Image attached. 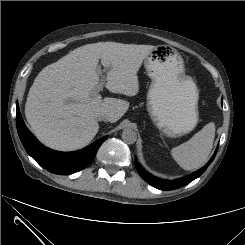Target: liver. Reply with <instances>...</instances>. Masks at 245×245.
Listing matches in <instances>:
<instances>
[{
  "label": "liver",
  "instance_id": "6515ba94",
  "mask_svg": "<svg viewBox=\"0 0 245 245\" xmlns=\"http://www.w3.org/2000/svg\"><path fill=\"white\" fill-rule=\"evenodd\" d=\"M152 45L98 42L71 51L43 68L35 78L25 104V115L35 136L60 151L85 147L99 130L97 117L118 121L128 110L122 99L94 96L99 86V60L108 69L106 88L135 96L137 73Z\"/></svg>",
  "mask_w": 245,
  "mask_h": 245
}]
</instances>
